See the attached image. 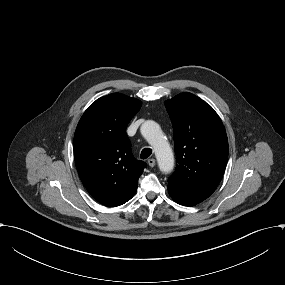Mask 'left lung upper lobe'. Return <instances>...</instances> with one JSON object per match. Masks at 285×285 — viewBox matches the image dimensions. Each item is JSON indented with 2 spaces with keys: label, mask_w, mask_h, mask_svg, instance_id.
I'll use <instances>...</instances> for the list:
<instances>
[{
  "label": "left lung upper lobe",
  "mask_w": 285,
  "mask_h": 285,
  "mask_svg": "<svg viewBox=\"0 0 285 285\" xmlns=\"http://www.w3.org/2000/svg\"><path fill=\"white\" fill-rule=\"evenodd\" d=\"M173 125L178 165L168 180V192L200 203L218 186L228 159V140L217 113L191 93L165 102Z\"/></svg>",
  "instance_id": "1"
}]
</instances>
